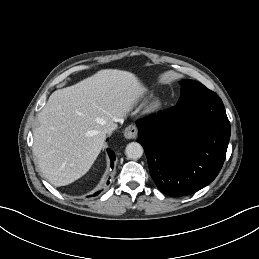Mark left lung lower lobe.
Here are the masks:
<instances>
[{"mask_svg": "<svg viewBox=\"0 0 259 259\" xmlns=\"http://www.w3.org/2000/svg\"><path fill=\"white\" fill-rule=\"evenodd\" d=\"M136 125L151 177L163 193L193 194L220 172L231 129L217 95L172 107Z\"/></svg>", "mask_w": 259, "mask_h": 259, "instance_id": "1", "label": "left lung lower lobe"}]
</instances>
